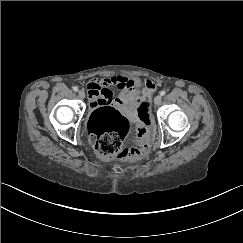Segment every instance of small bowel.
I'll return each instance as SVG.
<instances>
[{"instance_id": "c3829d8e", "label": "small bowel", "mask_w": 243, "mask_h": 243, "mask_svg": "<svg viewBox=\"0 0 243 243\" xmlns=\"http://www.w3.org/2000/svg\"><path fill=\"white\" fill-rule=\"evenodd\" d=\"M118 89L119 93L113 97L111 87ZM90 104L92 108L104 105H114L122 113L133 118V108L138 99L136 82L125 76H111L102 79H93L87 84ZM155 90V84L146 80L145 88L141 92L143 97L150 96Z\"/></svg>"}]
</instances>
